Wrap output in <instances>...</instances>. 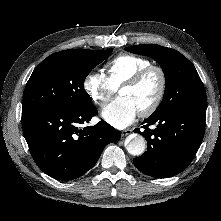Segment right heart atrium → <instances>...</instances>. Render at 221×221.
Listing matches in <instances>:
<instances>
[{"label": "right heart atrium", "mask_w": 221, "mask_h": 221, "mask_svg": "<svg viewBox=\"0 0 221 221\" xmlns=\"http://www.w3.org/2000/svg\"><path fill=\"white\" fill-rule=\"evenodd\" d=\"M82 87L90 100L98 106L105 105L116 91L106 75L99 71L88 72L83 79Z\"/></svg>", "instance_id": "right-heart-atrium-1"}]
</instances>
